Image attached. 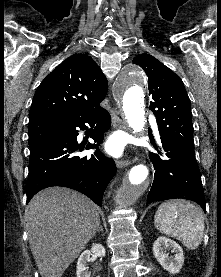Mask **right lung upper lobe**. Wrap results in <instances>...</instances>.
Returning <instances> with one entry per match:
<instances>
[{
  "label": "right lung upper lobe",
  "instance_id": "right-lung-upper-lobe-1",
  "mask_svg": "<svg viewBox=\"0 0 221 277\" xmlns=\"http://www.w3.org/2000/svg\"><path fill=\"white\" fill-rule=\"evenodd\" d=\"M108 91L105 75L85 54H74L39 85L29 112V125L79 117L101 108Z\"/></svg>",
  "mask_w": 221,
  "mask_h": 277
}]
</instances>
